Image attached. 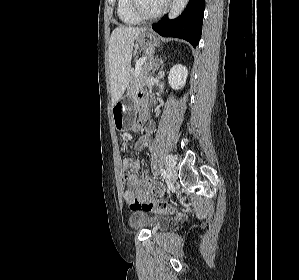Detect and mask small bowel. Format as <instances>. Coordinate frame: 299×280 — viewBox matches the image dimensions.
I'll list each match as a JSON object with an SVG mask.
<instances>
[{
  "label": "small bowel",
  "mask_w": 299,
  "mask_h": 280,
  "mask_svg": "<svg viewBox=\"0 0 299 280\" xmlns=\"http://www.w3.org/2000/svg\"><path fill=\"white\" fill-rule=\"evenodd\" d=\"M139 119L137 127L139 128L146 122V111H142L139 107ZM155 125L153 122H148L145 125L143 134L138 139L135 148L140 151L144 147L150 146L149 139L154 132ZM126 186L123 191V198L126 203L131 204L135 201H147L150 194H162L164 188L160 183L152 181L148 176H139L138 174H131L125 178Z\"/></svg>",
  "instance_id": "c3829d8e"
}]
</instances>
